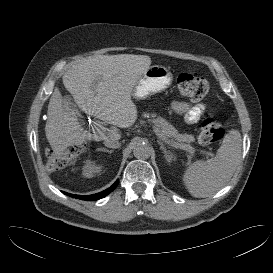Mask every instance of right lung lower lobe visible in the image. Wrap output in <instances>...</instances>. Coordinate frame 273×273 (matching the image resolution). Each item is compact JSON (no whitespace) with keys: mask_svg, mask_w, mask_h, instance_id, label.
I'll list each match as a JSON object with an SVG mask.
<instances>
[{"mask_svg":"<svg viewBox=\"0 0 273 273\" xmlns=\"http://www.w3.org/2000/svg\"><path fill=\"white\" fill-rule=\"evenodd\" d=\"M119 180H117L111 187H109L108 189L97 193V194H93V195H87V196H81V195H74V194H70V193H66L63 192L64 194L73 197V198H77V199H81V200H87V201H95V200H99L105 196H107L109 193H111L116 186L118 185Z\"/></svg>","mask_w":273,"mask_h":273,"instance_id":"right-lung-lower-lobe-1","label":"right lung lower lobe"}]
</instances>
